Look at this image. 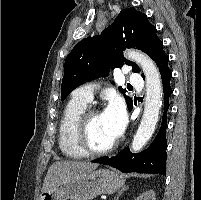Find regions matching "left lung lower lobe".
Here are the masks:
<instances>
[{
    "mask_svg": "<svg viewBox=\"0 0 201 200\" xmlns=\"http://www.w3.org/2000/svg\"><path fill=\"white\" fill-rule=\"evenodd\" d=\"M169 57L163 53L156 61L161 73L164 91V113L161 128L152 144L141 153H130L129 148H125L115 157H103L93 160L94 163L112 166L123 173H150L166 174L167 140H166V113L169 108V97L172 94L170 80L172 72L168 67ZM133 106L131 107V109ZM130 109V110H131Z\"/></svg>",
    "mask_w": 201,
    "mask_h": 200,
    "instance_id": "left-lung-lower-lobe-1",
    "label": "left lung lower lobe"
}]
</instances>
